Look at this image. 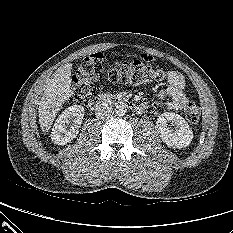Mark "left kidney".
Returning a JSON list of instances; mask_svg holds the SVG:
<instances>
[{"label":"left kidney","mask_w":233,"mask_h":233,"mask_svg":"<svg viewBox=\"0 0 233 233\" xmlns=\"http://www.w3.org/2000/svg\"><path fill=\"white\" fill-rule=\"evenodd\" d=\"M171 123L174 130L169 127ZM157 131L168 147L185 148L193 139V131L191 130L185 119L173 112L162 113L156 121Z\"/></svg>","instance_id":"1"}]
</instances>
